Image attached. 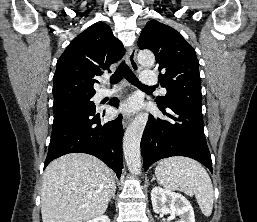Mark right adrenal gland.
I'll return each instance as SVG.
<instances>
[{
  "label": "right adrenal gland",
  "mask_w": 257,
  "mask_h": 222,
  "mask_svg": "<svg viewBox=\"0 0 257 222\" xmlns=\"http://www.w3.org/2000/svg\"><path fill=\"white\" fill-rule=\"evenodd\" d=\"M115 192H116V188L114 189L113 193H112V198L115 199Z\"/></svg>",
  "instance_id": "right-adrenal-gland-1"
}]
</instances>
